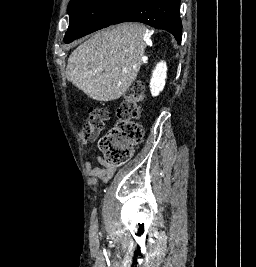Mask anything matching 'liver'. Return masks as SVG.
Segmentation results:
<instances>
[{"label":"liver","mask_w":256,"mask_h":267,"mask_svg":"<svg viewBox=\"0 0 256 267\" xmlns=\"http://www.w3.org/2000/svg\"><path fill=\"white\" fill-rule=\"evenodd\" d=\"M146 30L143 24L125 22L96 32L69 56L67 80L92 100H118L138 76Z\"/></svg>","instance_id":"liver-1"}]
</instances>
